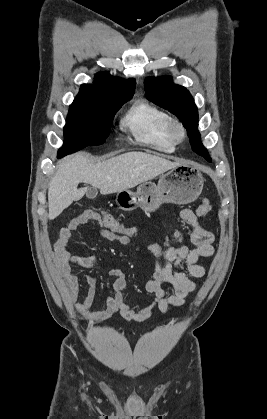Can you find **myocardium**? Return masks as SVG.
I'll use <instances>...</instances> for the list:
<instances>
[{
    "mask_svg": "<svg viewBox=\"0 0 267 419\" xmlns=\"http://www.w3.org/2000/svg\"><path fill=\"white\" fill-rule=\"evenodd\" d=\"M166 134L174 144H178L185 139L186 128L180 119L170 117L166 126Z\"/></svg>",
    "mask_w": 267,
    "mask_h": 419,
    "instance_id": "1",
    "label": "myocardium"
}]
</instances>
